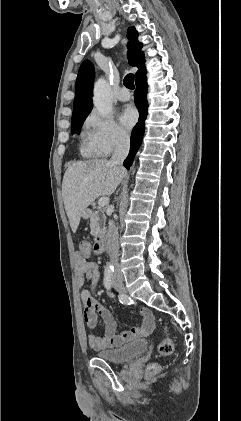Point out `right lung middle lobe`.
I'll return each instance as SVG.
<instances>
[{
  "mask_svg": "<svg viewBox=\"0 0 241 421\" xmlns=\"http://www.w3.org/2000/svg\"><path fill=\"white\" fill-rule=\"evenodd\" d=\"M86 116H81V117H76V118H72V134L77 133L80 131V128L84 122V120L86 119Z\"/></svg>",
  "mask_w": 241,
  "mask_h": 421,
  "instance_id": "1",
  "label": "right lung middle lobe"
}]
</instances>
